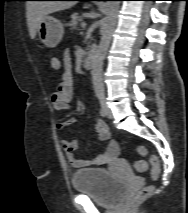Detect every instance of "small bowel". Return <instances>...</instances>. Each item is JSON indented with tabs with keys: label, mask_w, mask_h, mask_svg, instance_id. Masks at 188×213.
<instances>
[{
	"label": "small bowel",
	"mask_w": 188,
	"mask_h": 213,
	"mask_svg": "<svg viewBox=\"0 0 188 213\" xmlns=\"http://www.w3.org/2000/svg\"><path fill=\"white\" fill-rule=\"evenodd\" d=\"M63 67L64 72L61 75L60 82L57 85V89L51 95L53 110L56 112L67 110L72 98V59L69 51H65L63 54ZM75 122H77V119L75 117H71L65 121L59 122L57 126L59 129H62L65 126L71 125ZM93 126L96 130L98 140L109 141V144L107 149L102 154H99L92 159H81L76 156L75 152L79 147L78 139H65L62 141V146L65 151L66 158L69 163L75 168H86L90 166L112 163L116 161L119 156L118 144L116 141L111 140V132L108 125L100 119H95L93 121Z\"/></svg>",
	"instance_id": "small-bowel-1"
}]
</instances>
